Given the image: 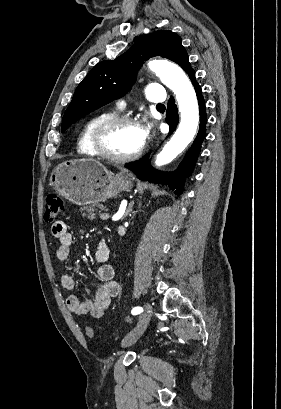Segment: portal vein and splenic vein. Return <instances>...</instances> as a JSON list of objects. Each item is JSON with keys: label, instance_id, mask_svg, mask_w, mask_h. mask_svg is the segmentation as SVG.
<instances>
[{"label": "portal vein and splenic vein", "instance_id": "18ae733b", "mask_svg": "<svg viewBox=\"0 0 281 409\" xmlns=\"http://www.w3.org/2000/svg\"><path fill=\"white\" fill-rule=\"evenodd\" d=\"M99 219H100L101 221H104L105 219H109V217H108L107 213L101 212V213H100V216H99ZM119 220H120V219H119Z\"/></svg>", "mask_w": 281, "mask_h": 409}]
</instances>
